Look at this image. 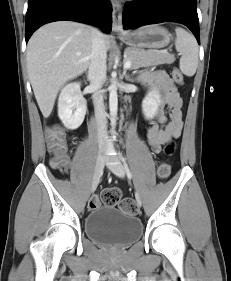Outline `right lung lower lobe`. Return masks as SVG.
<instances>
[{"mask_svg":"<svg viewBox=\"0 0 231 281\" xmlns=\"http://www.w3.org/2000/svg\"><path fill=\"white\" fill-rule=\"evenodd\" d=\"M59 20H71L100 27L110 33L112 13L109 0H29L26 13L25 38L42 25Z\"/></svg>","mask_w":231,"mask_h":281,"instance_id":"98d812e1","label":"right lung lower lobe"}]
</instances>
